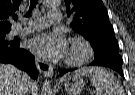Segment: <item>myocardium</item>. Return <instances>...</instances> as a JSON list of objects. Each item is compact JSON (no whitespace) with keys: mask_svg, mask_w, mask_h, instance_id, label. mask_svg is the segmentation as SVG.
<instances>
[{"mask_svg":"<svg viewBox=\"0 0 135 95\" xmlns=\"http://www.w3.org/2000/svg\"><path fill=\"white\" fill-rule=\"evenodd\" d=\"M75 45H78L81 47L82 54L77 58H73L67 55L65 59V63L69 66L81 65L87 60H89L91 56L93 55V48L87 39L83 37H73L70 41V47L75 46Z\"/></svg>","mask_w":135,"mask_h":95,"instance_id":"obj_1","label":"myocardium"}]
</instances>
